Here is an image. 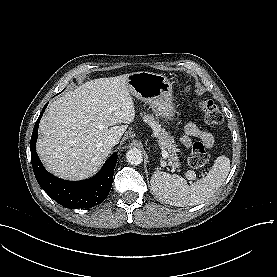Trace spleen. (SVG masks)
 I'll use <instances>...</instances> for the list:
<instances>
[{
  "label": "spleen",
  "instance_id": "spleen-1",
  "mask_svg": "<svg viewBox=\"0 0 277 277\" xmlns=\"http://www.w3.org/2000/svg\"><path fill=\"white\" fill-rule=\"evenodd\" d=\"M230 171V160L219 156L208 174L188 184L177 175L156 170L151 177V187L159 200L175 206H194L209 199L224 183Z\"/></svg>",
  "mask_w": 277,
  "mask_h": 277
}]
</instances>
